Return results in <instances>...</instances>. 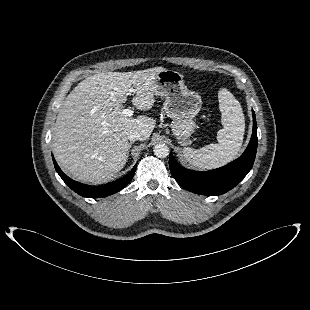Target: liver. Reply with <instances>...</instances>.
Returning a JSON list of instances; mask_svg holds the SVG:
<instances>
[{
  "instance_id": "liver-1",
  "label": "liver",
  "mask_w": 310,
  "mask_h": 310,
  "mask_svg": "<svg viewBox=\"0 0 310 310\" xmlns=\"http://www.w3.org/2000/svg\"><path fill=\"white\" fill-rule=\"evenodd\" d=\"M163 67L134 72L97 73L81 81L66 97L53 131V152L60 166L74 178L103 183L126 164L128 133L150 137L156 121L122 114L128 92L132 104L149 110L155 102L156 79Z\"/></svg>"
}]
</instances>
